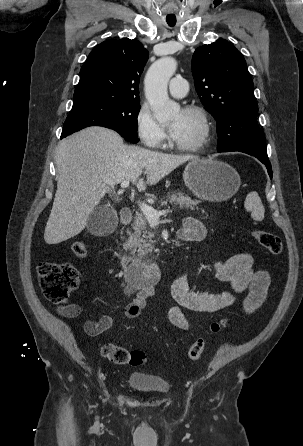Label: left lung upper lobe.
I'll list each match as a JSON object with an SVG mask.
<instances>
[{"label":"left lung upper lobe","mask_w":303,"mask_h":446,"mask_svg":"<svg viewBox=\"0 0 303 446\" xmlns=\"http://www.w3.org/2000/svg\"><path fill=\"white\" fill-rule=\"evenodd\" d=\"M195 88L217 122L218 152L267 156L264 132L257 124L253 81L242 54L229 42L197 48L192 58Z\"/></svg>","instance_id":"5c2ea615"}]
</instances>
